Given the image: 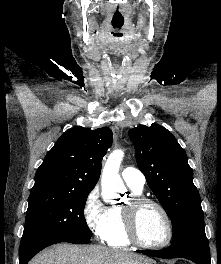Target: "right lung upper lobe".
<instances>
[{"instance_id":"right-lung-upper-lobe-1","label":"right lung upper lobe","mask_w":221,"mask_h":264,"mask_svg":"<svg viewBox=\"0 0 221 264\" xmlns=\"http://www.w3.org/2000/svg\"><path fill=\"white\" fill-rule=\"evenodd\" d=\"M112 140V131L107 127L67 130L38 168L31 192L91 191L100 177L101 161Z\"/></svg>"}]
</instances>
